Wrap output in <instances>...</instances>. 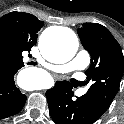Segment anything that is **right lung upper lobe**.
I'll return each mask as SVG.
<instances>
[{
  "mask_svg": "<svg viewBox=\"0 0 124 124\" xmlns=\"http://www.w3.org/2000/svg\"><path fill=\"white\" fill-rule=\"evenodd\" d=\"M43 21L24 12H11L0 18V69L23 67L22 52L36 44Z\"/></svg>",
  "mask_w": 124,
  "mask_h": 124,
  "instance_id": "right-lung-upper-lobe-1",
  "label": "right lung upper lobe"
}]
</instances>
